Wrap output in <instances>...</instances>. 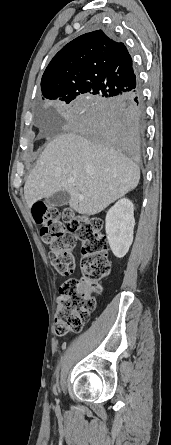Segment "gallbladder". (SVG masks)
Masks as SVG:
<instances>
[{"instance_id":"obj_1","label":"gallbladder","mask_w":171,"mask_h":445,"mask_svg":"<svg viewBox=\"0 0 171 445\" xmlns=\"http://www.w3.org/2000/svg\"><path fill=\"white\" fill-rule=\"evenodd\" d=\"M70 200V195L66 191H58L46 198L48 207L63 206Z\"/></svg>"}]
</instances>
